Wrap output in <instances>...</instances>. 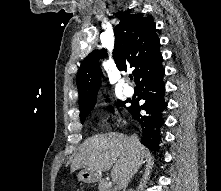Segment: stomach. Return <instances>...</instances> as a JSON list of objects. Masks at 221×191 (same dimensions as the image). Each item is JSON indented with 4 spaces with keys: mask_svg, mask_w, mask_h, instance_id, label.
<instances>
[{
    "mask_svg": "<svg viewBox=\"0 0 221 191\" xmlns=\"http://www.w3.org/2000/svg\"><path fill=\"white\" fill-rule=\"evenodd\" d=\"M77 177L84 183H95L101 180V173L95 170L84 168L78 173Z\"/></svg>",
    "mask_w": 221,
    "mask_h": 191,
    "instance_id": "1",
    "label": "stomach"
}]
</instances>
